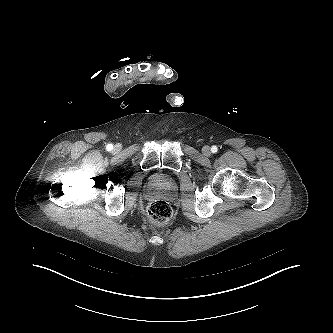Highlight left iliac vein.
Masks as SVG:
<instances>
[{"label":"left iliac vein","instance_id":"4c4485c4","mask_svg":"<svg viewBox=\"0 0 333 333\" xmlns=\"http://www.w3.org/2000/svg\"><path fill=\"white\" fill-rule=\"evenodd\" d=\"M202 152H203V154H204L205 156H207V157L211 155V149H210L209 146H204V147L202 148Z\"/></svg>","mask_w":333,"mask_h":333}]
</instances>
